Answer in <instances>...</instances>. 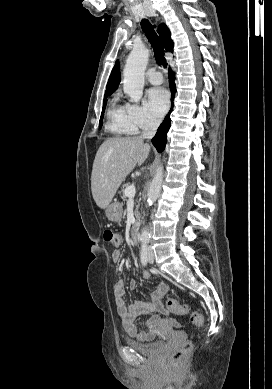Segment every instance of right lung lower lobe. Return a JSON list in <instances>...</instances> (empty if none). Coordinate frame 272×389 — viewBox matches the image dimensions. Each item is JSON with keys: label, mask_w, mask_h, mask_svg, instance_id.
<instances>
[{"label": "right lung lower lobe", "mask_w": 272, "mask_h": 389, "mask_svg": "<svg viewBox=\"0 0 272 389\" xmlns=\"http://www.w3.org/2000/svg\"><path fill=\"white\" fill-rule=\"evenodd\" d=\"M174 79H175L174 73L171 70H169V87H170L171 93H172V98H171L172 102H173L175 92H176V86L174 83ZM172 108H173V103H172ZM172 108H171L170 112L172 111ZM170 112L168 113V115L165 117L163 123L158 128L156 135L152 138V143L156 147L158 152H162L165 148V145H166V141H167L166 134H167V132L170 128V125H171V119L169 116Z\"/></svg>", "instance_id": "right-lung-lower-lobe-1"}]
</instances>
